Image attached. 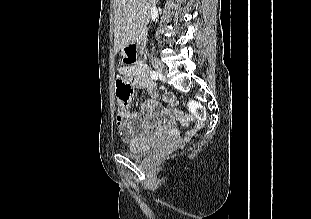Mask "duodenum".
Here are the masks:
<instances>
[{"mask_svg": "<svg viewBox=\"0 0 311 219\" xmlns=\"http://www.w3.org/2000/svg\"><path fill=\"white\" fill-rule=\"evenodd\" d=\"M146 44V34L144 31H141L134 43L128 46V53L132 56H135L137 62L142 61V55Z\"/></svg>", "mask_w": 311, "mask_h": 219, "instance_id": "410a0bca", "label": "duodenum"}]
</instances>
